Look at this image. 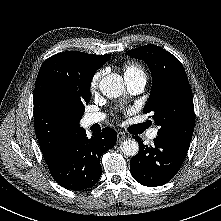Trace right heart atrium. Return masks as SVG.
I'll use <instances>...</instances> for the list:
<instances>
[{"label":"right heart atrium","mask_w":221,"mask_h":221,"mask_svg":"<svg viewBox=\"0 0 221 221\" xmlns=\"http://www.w3.org/2000/svg\"><path fill=\"white\" fill-rule=\"evenodd\" d=\"M105 74V70L104 69H101V70H98L94 76L92 77V80H91V84H90V89L91 91H95V89L97 88L98 86V83H99V80L101 79V77Z\"/></svg>","instance_id":"right-heart-atrium-1"}]
</instances>
